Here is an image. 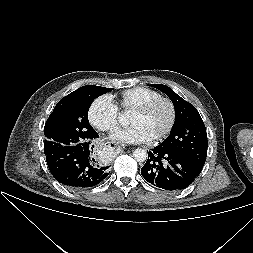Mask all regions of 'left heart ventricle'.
<instances>
[{
    "label": "left heart ventricle",
    "mask_w": 253,
    "mask_h": 253,
    "mask_svg": "<svg viewBox=\"0 0 253 253\" xmlns=\"http://www.w3.org/2000/svg\"><path fill=\"white\" fill-rule=\"evenodd\" d=\"M169 120L170 110L166 104H159L147 113L132 112L130 116L131 124L143 126L153 138L166 128Z\"/></svg>",
    "instance_id": "b2bd125f"
}]
</instances>
